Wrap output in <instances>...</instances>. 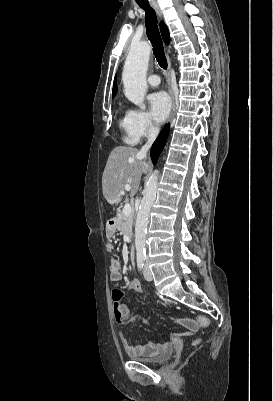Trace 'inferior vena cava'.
<instances>
[{
  "label": "inferior vena cava",
  "instance_id": "obj_1",
  "mask_svg": "<svg viewBox=\"0 0 273 401\" xmlns=\"http://www.w3.org/2000/svg\"><path fill=\"white\" fill-rule=\"evenodd\" d=\"M158 132H159V128H157V126H150V128L148 130V140H147L146 144H144V146H142V148L140 150V154H141L142 158H146V154H147L152 142H154Z\"/></svg>",
  "mask_w": 273,
  "mask_h": 401
}]
</instances>
